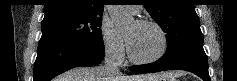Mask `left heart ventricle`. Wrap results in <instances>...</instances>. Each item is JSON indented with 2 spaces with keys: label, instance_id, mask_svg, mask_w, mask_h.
Returning a JSON list of instances; mask_svg holds the SVG:
<instances>
[{
  "label": "left heart ventricle",
  "instance_id": "left-heart-ventricle-1",
  "mask_svg": "<svg viewBox=\"0 0 237 81\" xmlns=\"http://www.w3.org/2000/svg\"><path fill=\"white\" fill-rule=\"evenodd\" d=\"M125 35L132 53L138 58L154 56L162 46L160 35L151 26H141L134 22Z\"/></svg>",
  "mask_w": 237,
  "mask_h": 81
}]
</instances>
